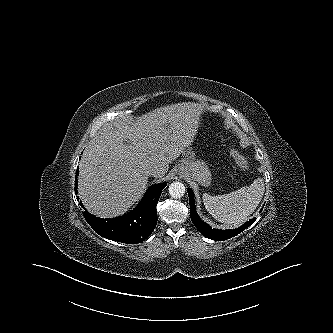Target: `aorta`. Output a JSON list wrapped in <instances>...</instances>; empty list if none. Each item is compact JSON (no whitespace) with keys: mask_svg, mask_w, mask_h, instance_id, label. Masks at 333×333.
<instances>
[{"mask_svg":"<svg viewBox=\"0 0 333 333\" xmlns=\"http://www.w3.org/2000/svg\"><path fill=\"white\" fill-rule=\"evenodd\" d=\"M169 194L173 198H181L185 194V186L181 182H173L169 186Z\"/></svg>","mask_w":333,"mask_h":333,"instance_id":"aorta-1","label":"aorta"}]
</instances>
